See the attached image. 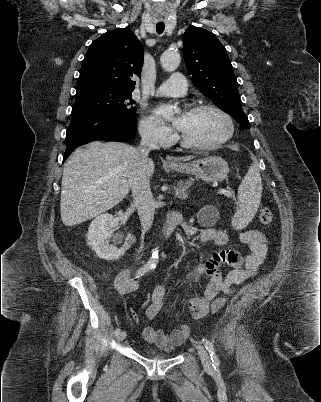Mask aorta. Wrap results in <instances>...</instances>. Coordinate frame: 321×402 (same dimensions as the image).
I'll return each mask as SVG.
<instances>
[{
  "label": "aorta",
  "instance_id": "762f6f07",
  "mask_svg": "<svg viewBox=\"0 0 321 402\" xmlns=\"http://www.w3.org/2000/svg\"><path fill=\"white\" fill-rule=\"evenodd\" d=\"M181 61L180 54L174 50L165 51L160 57V63L164 70L166 71H174L177 69ZM159 255L158 250L152 253V257L148 261V265L150 268H155L158 263Z\"/></svg>",
  "mask_w": 321,
  "mask_h": 402
}]
</instances>
